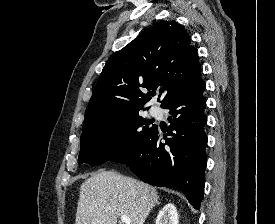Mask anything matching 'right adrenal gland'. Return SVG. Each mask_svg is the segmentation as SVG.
Segmentation results:
<instances>
[{
  "instance_id": "2a0ac1e0",
  "label": "right adrenal gland",
  "mask_w": 275,
  "mask_h": 224,
  "mask_svg": "<svg viewBox=\"0 0 275 224\" xmlns=\"http://www.w3.org/2000/svg\"><path fill=\"white\" fill-rule=\"evenodd\" d=\"M157 205H159L160 204V202L159 201H157V203H156Z\"/></svg>"
}]
</instances>
